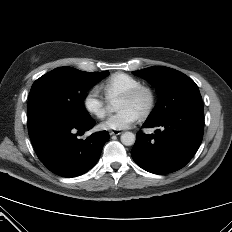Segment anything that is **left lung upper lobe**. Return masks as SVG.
<instances>
[{"mask_svg":"<svg viewBox=\"0 0 232 232\" xmlns=\"http://www.w3.org/2000/svg\"><path fill=\"white\" fill-rule=\"evenodd\" d=\"M132 73L150 82L161 95L148 120H159L179 108L202 102L196 83L180 71L153 66Z\"/></svg>","mask_w":232,"mask_h":232,"instance_id":"5c2ea615","label":"left lung upper lobe"}]
</instances>
